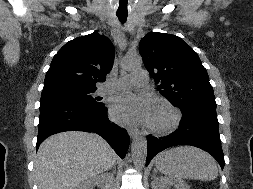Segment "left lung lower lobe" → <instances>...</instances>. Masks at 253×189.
Listing matches in <instances>:
<instances>
[{
	"instance_id": "left-lung-lower-lobe-1",
	"label": "left lung lower lobe",
	"mask_w": 253,
	"mask_h": 189,
	"mask_svg": "<svg viewBox=\"0 0 253 189\" xmlns=\"http://www.w3.org/2000/svg\"><path fill=\"white\" fill-rule=\"evenodd\" d=\"M148 151L146 166L151 159L164 149L175 145H192L210 153L224 167V155L220 144L217 117L202 114H183L179 129L170 135L147 138Z\"/></svg>"
}]
</instances>
